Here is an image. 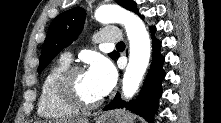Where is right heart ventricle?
Instances as JSON below:
<instances>
[{
	"mask_svg": "<svg viewBox=\"0 0 221 123\" xmlns=\"http://www.w3.org/2000/svg\"><path fill=\"white\" fill-rule=\"evenodd\" d=\"M70 66V62L61 58L47 71L41 84L38 114L46 119L61 120L78 114V110L64 103L56 92L58 76Z\"/></svg>",
	"mask_w": 221,
	"mask_h": 123,
	"instance_id": "right-heart-ventricle-1",
	"label": "right heart ventricle"
}]
</instances>
